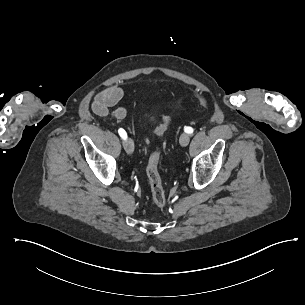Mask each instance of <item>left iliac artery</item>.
Here are the masks:
<instances>
[{
    "label": "left iliac artery",
    "instance_id": "1",
    "mask_svg": "<svg viewBox=\"0 0 305 305\" xmlns=\"http://www.w3.org/2000/svg\"><path fill=\"white\" fill-rule=\"evenodd\" d=\"M184 130H185L186 133H189V134L193 133V128L192 127H185Z\"/></svg>",
    "mask_w": 305,
    "mask_h": 305
}]
</instances>
